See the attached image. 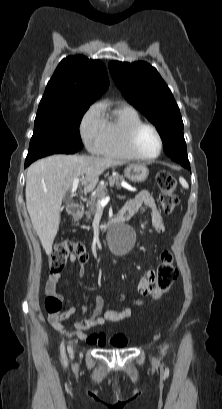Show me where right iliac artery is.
Listing matches in <instances>:
<instances>
[{"label": "right iliac artery", "mask_w": 222, "mask_h": 409, "mask_svg": "<svg viewBox=\"0 0 222 409\" xmlns=\"http://www.w3.org/2000/svg\"><path fill=\"white\" fill-rule=\"evenodd\" d=\"M60 351H61L62 360L64 361V363H66V354H65L64 342H62V344L60 346Z\"/></svg>", "instance_id": "82829eb1"}]
</instances>
